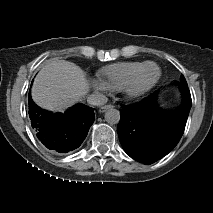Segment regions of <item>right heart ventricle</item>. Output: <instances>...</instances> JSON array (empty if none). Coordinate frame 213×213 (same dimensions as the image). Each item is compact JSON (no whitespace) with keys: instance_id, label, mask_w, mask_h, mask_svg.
Listing matches in <instances>:
<instances>
[{"instance_id":"e07e8e85","label":"right heart ventricle","mask_w":213,"mask_h":213,"mask_svg":"<svg viewBox=\"0 0 213 213\" xmlns=\"http://www.w3.org/2000/svg\"><path fill=\"white\" fill-rule=\"evenodd\" d=\"M145 62L129 61L114 63L102 68L99 72L110 89L121 90L123 84L140 68Z\"/></svg>"}]
</instances>
